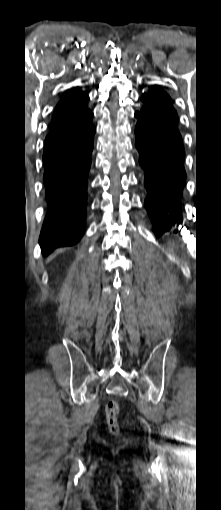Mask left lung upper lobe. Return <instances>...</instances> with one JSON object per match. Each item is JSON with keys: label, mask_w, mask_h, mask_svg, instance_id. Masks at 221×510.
I'll return each mask as SVG.
<instances>
[{"label": "left lung upper lobe", "mask_w": 221, "mask_h": 510, "mask_svg": "<svg viewBox=\"0 0 221 510\" xmlns=\"http://www.w3.org/2000/svg\"><path fill=\"white\" fill-rule=\"evenodd\" d=\"M141 101L144 105L140 112L166 131L180 135L177 129L178 115L171 105V98L162 88L153 86L141 96Z\"/></svg>", "instance_id": "5c2ea615"}]
</instances>
